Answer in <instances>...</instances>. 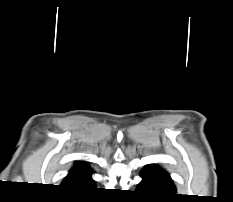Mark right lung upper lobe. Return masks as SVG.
<instances>
[{
    "label": "right lung upper lobe",
    "mask_w": 233,
    "mask_h": 202,
    "mask_svg": "<svg viewBox=\"0 0 233 202\" xmlns=\"http://www.w3.org/2000/svg\"><path fill=\"white\" fill-rule=\"evenodd\" d=\"M62 186L72 190L92 189L94 180L90 166L85 161H77L65 177Z\"/></svg>",
    "instance_id": "cb5924a9"
}]
</instances>
